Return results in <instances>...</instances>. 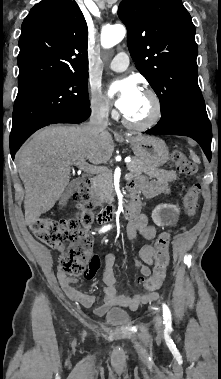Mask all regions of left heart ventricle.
I'll return each mask as SVG.
<instances>
[{
    "label": "left heart ventricle",
    "mask_w": 221,
    "mask_h": 379,
    "mask_svg": "<svg viewBox=\"0 0 221 379\" xmlns=\"http://www.w3.org/2000/svg\"><path fill=\"white\" fill-rule=\"evenodd\" d=\"M152 111V103L144 94L141 95L135 107L125 114L132 121H143L149 117Z\"/></svg>",
    "instance_id": "b2bd125f"
}]
</instances>
